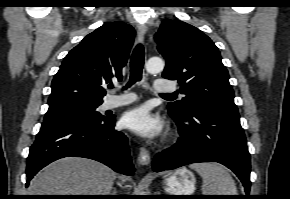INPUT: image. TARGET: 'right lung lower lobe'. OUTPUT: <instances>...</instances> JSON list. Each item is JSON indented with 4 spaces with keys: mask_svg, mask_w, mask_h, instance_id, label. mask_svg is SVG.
<instances>
[{
    "mask_svg": "<svg viewBox=\"0 0 290 199\" xmlns=\"http://www.w3.org/2000/svg\"><path fill=\"white\" fill-rule=\"evenodd\" d=\"M114 117L103 121L42 124L27 158V182L49 163L67 156L90 158L114 171L134 175L127 137L114 129Z\"/></svg>",
    "mask_w": 290,
    "mask_h": 199,
    "instance_id": "obj_1",
    "label": "right lung lower lobe"
}]
</instances>
